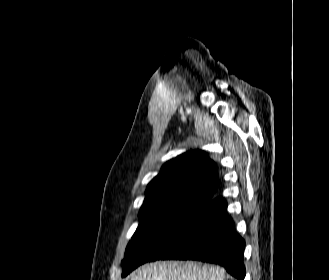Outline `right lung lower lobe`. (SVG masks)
<instances>
[{
  "label": "right lung lower lobe",
  "instance_id": "right-lung-lower-lobe-1",
  "mask_svg": "<svg viewBox=\"0 0 329 280\" xmlns=\"http://www.w3.org/2000/svg\"><path fill=\"white\" fill-rule=\"evenodd\" d=\"M222 197L209 200L203 210L176 233L149 261L176 259L216 263L238 280L246 275L245 241L236 233Z\"/></svg>",
  "mask_w": 329,
  "mask_h": 280
}]
</instances>
